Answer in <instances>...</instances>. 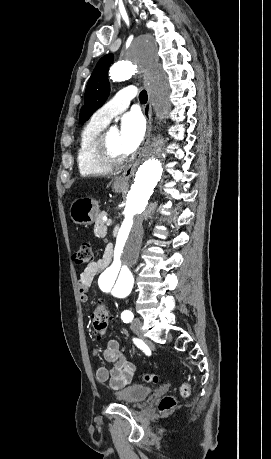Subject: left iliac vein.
<instances>
[{
    "instance_id": "4c4485c4",
    "label": "left iliac vein",
    "mask_w": 271,
    "mask_h": 459,
    "mask_svg": "<svg viewBox=\"0 0 271 459\" xmlns=\"http://www.w3.org/2000/svg\"><path fill=\"white\" fill-rule=\"evenodd\" d=\"M131 328L135 335L138 337L143 336V331H142V321L139 318H134L131 322Z\"/></svg>"
}]
</instances>
